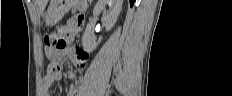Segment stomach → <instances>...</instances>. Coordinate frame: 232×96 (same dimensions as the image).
<instances>
[{
    "label": "stomach",
    "instance_id": "stomach-1",
    "mask_svg": "<svg viewBox=\"0 0 232 96\" xmlns=\"http://www.w3.org/2000/svg\"><path fill=\"white\" fill-rule=\"evenodd\" d=\"M73 0H52L45 15L47 26H52L59 22L62 17L72 7Z\"/></svg>",
    "mask_w": 232,
    "mask_h": 96
}]
</instances>
